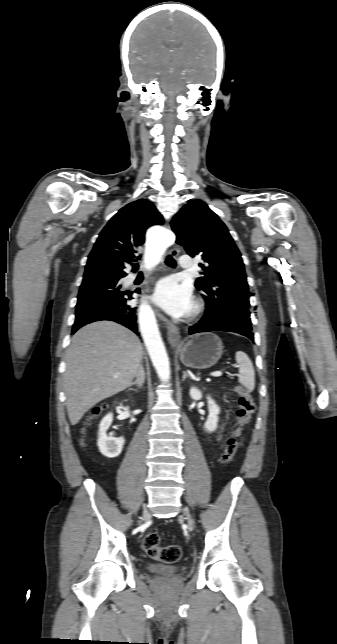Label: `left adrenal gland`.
Here are the masks:
<instances>
[{"label": "left adrenal gland", "instance_id": "a2214340", "mask_svg": "<svg viewBox=\"0 0 337 644\" xmlns=\"http://www.w3.org/2000/svg\"><path fill=\"white\" fill-rule=\"evenodd\" d=\"M187 377L191 378V376L186 371H183L182 381H185Z\"/></svg>", "mask_w": 337, "mask_h": 644}]
</instances>
